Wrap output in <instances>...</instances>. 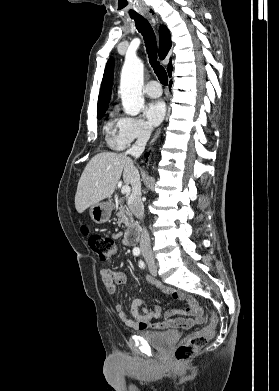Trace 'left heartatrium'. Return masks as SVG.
Returning <instances> with one entry per match:
<instances>
[{"mask_svg":"<svg viewBox=\"0 0 279 391\" xmlns=\"http://www.w3.org/2000/svg\"><path fill=\"white\" fill-rule=\"evenodd\" d=\"M166 107L163 101L154 100L144 109V115L151 125H158L164 118Z\"/></svg>","mask_w":279,"mask_h":391,"instance_id":"obj_1","label":"left heart atrium"}]
</instances>
